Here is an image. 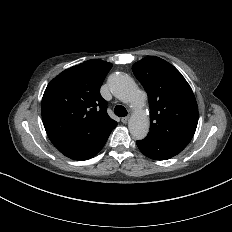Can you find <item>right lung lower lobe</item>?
Masks as SVG:
<instances>
[{
  "mask_svg": "<svg viewBox=\"0 0 232 232\" xmlns=\"http://www.w3.org/2000/svg\"><path fill=\"white\" fill-rule=\"evenodd\" d=\"M109 137V136H108ZM108 137L96 145L81 148L58 149L66 157L73 160H87L95 156L105 145Z\"/></svg>",
  "mask_w": 232,
  "mask_h": 232,
  "instance_id": "right-lung-lower-lobe-1",
  "label": "right lung lower lobe"
}]
</instances>
